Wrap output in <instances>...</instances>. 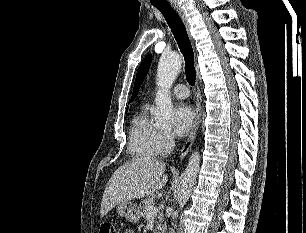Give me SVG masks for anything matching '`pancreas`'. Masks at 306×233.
I'll return each mask as SVG.
<instances>
[{
  "mask_svg": "<svg viewBox=\"0 0 306 233\" xmlns=\"http://www.w3.org/2000/svg\"><path fill=\"white\" fill-rule=\"evenodd\" d=\"M155 197L151 195L144 200L141 201V216L147 218L148 217V208L154 206ZM164 222V217L162 214H159L158 220L155 222V231L154 233H164L165 225L162 223Z\"/></svg>",
  "mask_w": 306,
  "mask_h": 233,
  "instance_id": "pancreas-1",
  "label": "pancreas"
}]
</instances>
